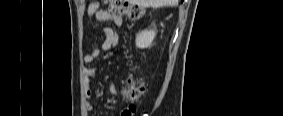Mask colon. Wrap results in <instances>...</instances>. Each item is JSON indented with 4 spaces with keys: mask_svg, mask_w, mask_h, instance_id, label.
<instances>
[{
    "mask_svg": "<svg viewBox=\"0 0 283 116\" xmlns=\"http://www.w3.org/2000/svg\"><path fill=\"white\" fill-rule=\"evenodd\" d=\"M104 2L109 4V9L112 13H117L129 21H137L143 14V9L135 3L120 0H106ZM144 91V84L140 80L130 77L127 81L124 97L128 101H133L139 98ZM135 111L136 107L134 105H130L123 110L122 116H132Z\"/></svg>",
    "mask_w": 283,
    "mask_h": 116,
    "instance_id": "1",
    "label": "colon"
}]
</instances>
